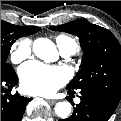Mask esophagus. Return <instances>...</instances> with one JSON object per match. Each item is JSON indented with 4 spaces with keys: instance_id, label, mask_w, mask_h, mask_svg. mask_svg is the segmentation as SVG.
Masks as SVG:
<instances>
[{
    "instance_id": "34e87169",
    "label": "esophagus",
    "mask_w": 121,
    "mask_h": 121,
    "mask_svg": "<svg viewBox=\"0 0 121 121\" xmlns=\"http://www.w3.org/2000/svg\"><path fill=\"white\" fill-rule=\"evenodd\" d=\"M48 103L53 105L56 103V100H48Z\"/></svg>"
}]
</instances>
